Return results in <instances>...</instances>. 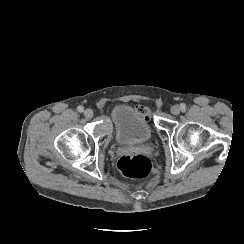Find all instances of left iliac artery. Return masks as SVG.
<instances>
[{"instance_id": "obj_1", "label": "left iliac artery", "mask_w": 244, "mask_h": 244, "mask_svg": "<svg viewBox=\"0 0 244 244\" xmlns=\"http://www.w3.org/2000/svg\"><path fill=\"white\" fill-rule=\"evenodd\" d=\"M180 109H181L182 111H184V110L186 109V105H185L184 103H181V104H180Z\"/></svg>"}]
</instances>
